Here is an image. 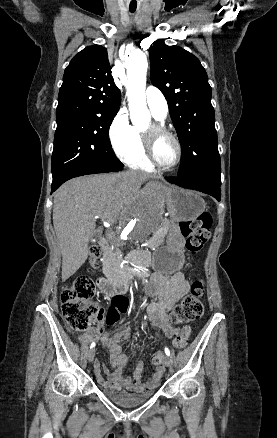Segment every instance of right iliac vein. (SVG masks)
Here are the masks:
<instances>
[{"instance_id": "right-iliac-vein-1", "label": "right iliac vein", "mask_w": 277, "mask_h": 438, "mask_svg": "<svg viewBox=\"0 0 277 438\" xmlns=\"http://www.w3.org/2000/svg\"><path fill=\"white\" fill-rule=\"evenodd\" d=\"M94 356H95V349H93V348L89 349L87 352V360L89 362H92L94 359Z\"/></svg>"}]
</instances>
